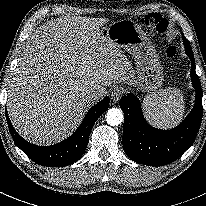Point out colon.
I'll return each instance as SVG.
<instances>
[{
    "mask_svg": "<svg viewBox=\"0 0 206 206\" xmlns=\"http://www.w3.org/2000/svg\"><path fill=\"white\" fill-rule=\"evenodd\" d=\"M140 23L147 29L155 31L159 35L163 36L167 30V20L159 14H150L141 18ZM176 48L168 45L165 47V54L168 58H174L176 56Z\"/></svg>",
    "mask_w": 206,
    "mask_h": 206,
    "instance_id": "obj_1",
    "label": "colon"
}]
</instances>
